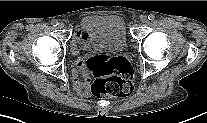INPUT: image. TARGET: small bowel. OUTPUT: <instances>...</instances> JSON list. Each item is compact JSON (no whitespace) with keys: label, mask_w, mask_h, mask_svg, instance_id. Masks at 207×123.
<instances>
[{"label":"small bowel","mask_w":207,"mask_h":123,"mask_svg":"<svg viewBox=\"0 0 207 123\" xmlns=\"http://www.w3.org/2000/svg\"><path fill=\"white\" fill-rule=\"evenodd\" d=\"M73 53L78 54L77 46L73 45ZM80 75L84 78L81 79ZM72 83L75 91L80 96H89L90 94V72L87 68V57H79L77 61V67L72 71Z\"/></svg>","instance_id":"small-bowel-1"}]
</instances>
